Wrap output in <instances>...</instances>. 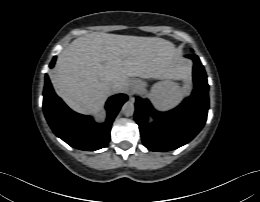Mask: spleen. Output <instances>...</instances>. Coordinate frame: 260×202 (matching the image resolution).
I'll use <instances>...</instances> for the list:
<instances>
[{
  "label": "spleen",
  "mask_w": 260,
  "mask_h": 202,
  "mask_svg": "<svg viewBox=\"0 0 260 202\" xmlns=\"http://www.w3.org/2000/svg\"><path fill=\"white\" fill-rule=\"evenodd\" d=\"M183 89L174 82L164 81L152 90L155 106L160 110H168L178 105L184 97Z\"/></svg>",
  "instance_id": "1"
}]
</instances>
